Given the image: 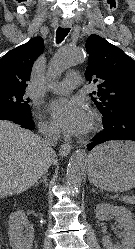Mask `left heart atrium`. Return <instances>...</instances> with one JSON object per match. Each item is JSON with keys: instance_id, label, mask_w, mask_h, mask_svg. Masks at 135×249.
<instances>
[{"instance_id": "left-heart-atrium-1", "label": "left heart atrium", "mask_w": 135, "mask_h": 249, "mask_svg": "<svg viewBox=\"0 0 135 249\" xmlns=\"http://www.w3.org/2000/svg\"><path fill=\"white\" fill-rule=\"evenodd\" d=\"M55 124L68 134L84 132L89 123L87 106L79 98H60L49 106Z\"/></svg>"}]
</instances>
